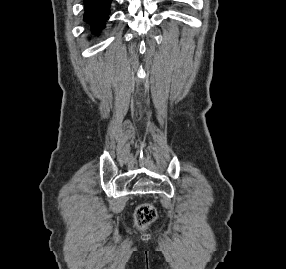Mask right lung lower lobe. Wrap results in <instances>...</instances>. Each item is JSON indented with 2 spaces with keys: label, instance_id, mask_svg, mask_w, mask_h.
I'll use <instances>...</instances> for the list:
<instances>
[{
  "label": "right lung lower lobe",
  "instance_id": "98d812e1",
  "mask_svg": "<svg viewBox=\"0 0 286 269\" xmlns=\"http://www.w3.org/2000/svg\"><path fill=\"white\" fill-rule=\"evenodd\" d=\"M111 1L112 0H84V20L91 24L93 32L103 28L106 19H108Z\"/></svg>",
  "mask_w": 286,
  "mask_h": 269
}]
</instances>
